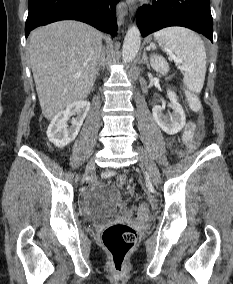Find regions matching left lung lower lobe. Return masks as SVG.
Returning <instances> with one entry per match:
<instances>
[{
	"label": "left lung lower lobe",
	"instance_id": "obj_1",
	"mask_svg": "<svg viewBox=\"0 0 233 284\" xmlns=\"http://www.w3.org/2000/svg\"><path fill=\"white\" fill-rule=\"evenodd\" d=\"M143 37L169 26L192 29L213 40V20L209 0H159L137 11Z\"/></svg>",
	"mask_w": 233,
	"mask_h": 284
}]
</instances>
